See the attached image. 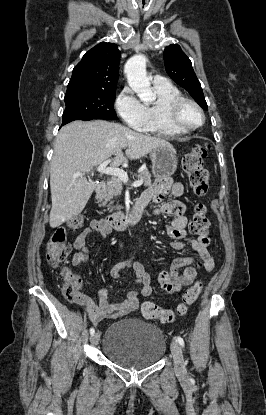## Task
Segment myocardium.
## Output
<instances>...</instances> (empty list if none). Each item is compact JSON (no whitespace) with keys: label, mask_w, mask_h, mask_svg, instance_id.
I'll return each mask as SVG.
<instances>
[{"label":"myocardium","mask_w":266,"mask_h":415,"mask_svg":"<svg viewBox=\"0 0 266 415\" xmlns=\"http://www.w3.org/2000/svg\"><path fill=\"white\" fill-rule=\"evenodd\" d=\"M192 105L200 114L201 122L197 125H189L185 123L181 118V110L185 105ZM165 115L169 123L182 131H192L202 127L205 123V113L201 106L193 99L185 97V96H178L171 100H169L165 104Z\"/></svg>","instance_id":"myocardium-1"}]
</instances>
